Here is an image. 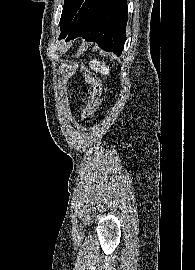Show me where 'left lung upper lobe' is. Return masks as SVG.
I'll use <instances>...</instances> for the list:
<instances>
[{
  "instance_id": "1",
  "label": "left lung upper lobe",
  "mask_w": 195,
  "mask_h": 270,
  "mask_svg": "<svg viewBox=\"0 0 195 270\" xmlns=\"http://www.w3.org/2000/svg\"><path fill=\"white\" fill-rule=\"evenodd\" d=\"M84 1L85 0H64L63 11L60 19L61 32L70 25Z\"/></svg>"
}]
</instances>
